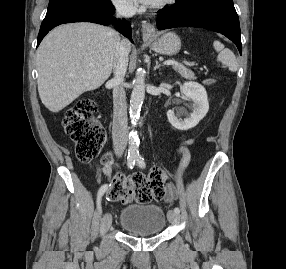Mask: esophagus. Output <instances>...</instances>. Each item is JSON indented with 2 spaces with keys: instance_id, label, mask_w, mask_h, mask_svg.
<instances>
[{
  "instance_id": "34e87169",
  "label": "esophagus",
  "mask_w": 286,
  "mask_h": 269,
  "mask_svg": "<svg viewBox=\"0 0 286 269\" xmlns=\"http://www.w3.org/2000/svg\"><path fill=\"white\" fill-rule=\"evenodd\" d=\"M155 32V26L152 23L144 22L142 24V36L144 39L150 38Z\"/></svg>"
}]
</instances>
